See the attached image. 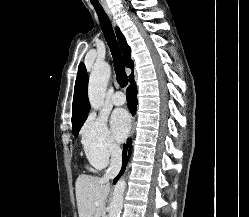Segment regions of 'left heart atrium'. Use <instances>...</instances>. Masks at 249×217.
Returning <instances> with one entry per match:
<instances>
[{
  "label": "left heart atrium",
  "instance_id": "left-heart-atrium-1",
  "mask_svg": "<svg viewBox=\"0 0 249 217\" xmlns=\"http://www.w3.org/2000/svg\"><path fill=\"white\" fill-rule=\"evenodd\" d=\"M130 117L123 109L115 110L111 116V126L117 140H123L130 130Z\"/></svg>",
  "mask_w": 249,
  "mask_h": 217
}]
</instances>
